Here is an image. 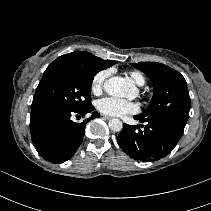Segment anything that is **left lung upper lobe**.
<instances>
[{
  "mask_svg": "<svg viewBox=\"0 0 211 211\" xmlns=\"http://www.w3.org/2000/svg\"><path fill=\"white\" fill-rule=\"evenodd\" d=\"M131 65L145 73L153 84V97L142 118H165L184 128L189 118L190 96L184 77L174 69L158 62Z\"/></svg>",
  "mask_w": 211,
  "mask_h": 211,
  "instance_id": "5c2ea615",
  "label": "left lung upper lobe"
}]
</instances>
